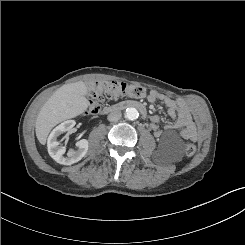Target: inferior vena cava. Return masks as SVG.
I'll list each match as a JSON object with an SVG mask.
<instances>
[{
  "instance_id": "602c4592",
  "label": "inferior vena cava",
  "mask_w": 245,
  "mask_h": 245,
  "mask_svg": "<svg viewBox=\"0 0 245 245\" xmlns=\"http://www.w3.org/2000/svg\"><path fill=\"white\" fill-rule=\"evenodd\" d=\"M121 116H122L121 111L113 110L108 114L107 119L110 122H115V121H118L121 118Z\"/></svg>"
}]
</instances>
